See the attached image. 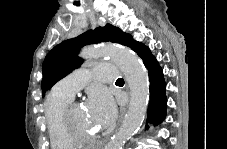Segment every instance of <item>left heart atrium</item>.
<instances>
[{
	"mask_svg": "<svg viewBox=\"0 0 227 149\" xmlns=\"http://www.w3.org/2000/svg\"><path fill=\"white\" fill-rule=\"evenodd\" d=\"M93 119L98 127L109 125L115 116V105L110 95L104 90H97L91 95Z\"/></svg>",
	"mask_w": 227,
	"mask_h": 149,
	"instance_id": "39dd6f15",
	"label": "left heart atrium"
}]
</instances>
